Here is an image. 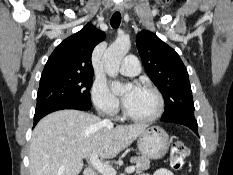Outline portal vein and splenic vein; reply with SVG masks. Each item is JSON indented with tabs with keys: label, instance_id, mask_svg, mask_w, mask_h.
<instances>
[{
	"label": "portal vein and splenic vein",
	"instance_id": "1",
	"mask_svg": "<svg viewBox=\"0 0 233 175\" xmlns=\"http://www.w3.org/2000/svg\"><path fill=\"white\" fill-rule=\"evenodd\" d=\"M90 164L103 175H116V170L99 160L98 154L94 151L90 155ZM135 166H129L125 169L126 173H133Z\"/></svg>",
	"mask_w": 233,
	"mask_h": 175
}]
</instances>
